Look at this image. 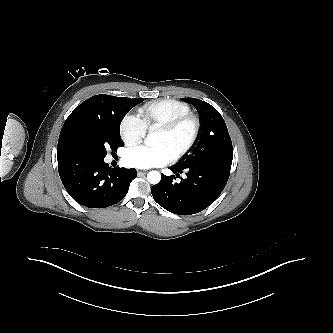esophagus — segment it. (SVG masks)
<instances>
[{
	"label": "esophagus",
	"instance_id": "34e87169",
	"mask_svg": "<svg viewBox=\"0 0 333 333\" xmlns=\"http://www.w3.org/2000/svg\"><path fill=\"white\" fill-rule=\"evenodd\" d=\"M146 173H147L146 171H142V170H138L137 171L138 176H142V175H144Z\"/></svg>",
	"mask_w": 333,
	"mask_h": 333
}]
</instances>
